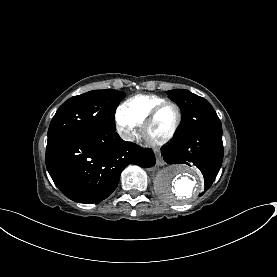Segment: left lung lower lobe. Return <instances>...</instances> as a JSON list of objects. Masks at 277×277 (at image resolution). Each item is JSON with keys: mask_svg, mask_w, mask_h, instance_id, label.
<instances>
[{"mask_svg": "<svg viewBox=\"0 0 277 277\" xmlns=\"http://www.w3.org/2000/svg\"><path fill=\"white\" fill-rule=\"evenodd\" d=\"M161 153L168 164L197 166L204 176L206 191L214 182L222 164V127H207L178 135L175 141L162 148Z\"/></svg>", "mask_w": 277, "mask_h": 277, "instance_id": "0a47b994", "label": "left lung lower lobe"}]
</instances>
